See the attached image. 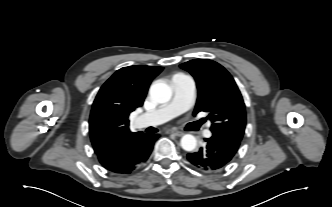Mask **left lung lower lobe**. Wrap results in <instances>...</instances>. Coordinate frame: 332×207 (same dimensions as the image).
Wrapping results in <instances>:
<instances>
[{"label":"left lung lower lobe","instance_id":"1","mask_svg":"<svg viewBox=\"0 0 332 207\" xmlns=\"http://www.w3.org/2000/svg\"><path fill=\"white\" fill-rule=\"evenodd\" d=\"M205 142L204 147L187 155L189 162L204 172H215L224 168L240 146V141L215 133L205 139Z\"/></svg>","mask_w":332,"mask_h":207}]
</instances>
